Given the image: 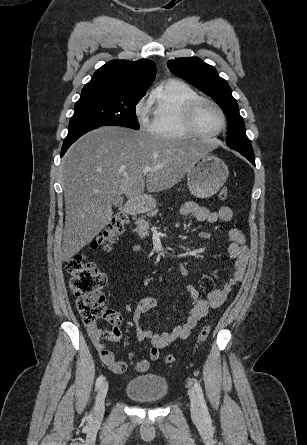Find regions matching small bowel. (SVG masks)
<instances>
[{
  "label": "small bowel",
  "instance_id": "obj_1",
  "mask_svg": "<svg viewBox=\"0 0 307 445\" xmlns=\"http://www.w3.org/2000/svg\"><path fill=\"white\" fill-rule=\"evenodd\" d=\"M181 213L209 224H214L219 221L230 222L234 216L233 210L228 206H223L218 211H211L195 202H186L181 207ZM229 237L231 241L227 249L232 260V272L228 281L221 288L209 291L206 297L201 296L198 290L192 285H186V290L189 293L192 305L187 319L183 324L176 326L169 332L153 333L144 327L142 318L147 312L156 307V301L153 298L147 297L138 302L132 316L135 332L139 339L150 341L149 360L141 359L136 362L138 372L147 371L150 364L149 361H157L161 349L178 339H186L189 337L199 321L204 318L210 310L220 307L226 300L232 287L242 281L249 258L246 238L243 233L236 228L230 229ZM87 330L102 362L115 374L125 372L127 363L123 360H117L113 352L103 343L104 340H109L110 331L98 329L95 324H88ZM132 357L133 354L131 353L129 358Z\"/></svg>",
  "mask_w": 307,
  "mask_h": 445
}]
</instances>
